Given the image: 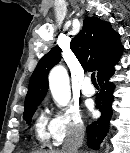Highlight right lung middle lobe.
<instances>
[{
  "instance_id": "right-lung-middle-lobe-1",
  "label": "right lung middle lobe",
  "mask_w": 130,
  "mask_h": 153,
  "mask_svg": "<svg viewBox=\"0 0 130 153\" xmlns=\"http://www.w3.org/2000/svg\"><path fill=\"white\" fill-rule=\"evenodd\" d=\"M40 103H36V104H33V105H30L28 107L25 108V111H24V114H23V119L29 124L30 121H31V118L37 108V106L39 105Z\"/></svg>"
}]
</instances>
